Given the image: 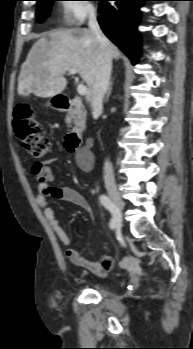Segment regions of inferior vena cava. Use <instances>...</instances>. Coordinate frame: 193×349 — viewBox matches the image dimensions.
<instances>
[{"instance_id": "602c4592", "label": "inferior vena cava", "mask_w": 193, "mask_h": 349, "mask_svg": "<svg viewBox=\"0 0 193 349\" xmlns=\"http://www.w3.org/2000/svg\"><path fill=\"white\" fill-rule=\"evenodd\" d=\"M88 26L100 44L95 82L91 97V109L93 113L100 114L103 111V99L109 87L112 69V53L110 41L101 31L94 10L89 12ZM103 178L105 185L115 184L113 166L109 160H106L104 163Z\"/></svg>"}]
</instances>
